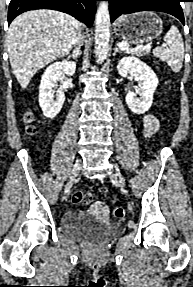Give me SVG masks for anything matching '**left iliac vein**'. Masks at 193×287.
Masks as SVG:
<instances>
[{"label": "left iliac vein", "mask_w": 193, "mask_h": 287, "mask_svg": "<svg viewBox=\"0 0 193 287\" xmlns=\"http://www.w3.org/2000/svg\"><path fill=\"white\" fill-rule=\"evenodd\" d=\"M111 177L112 178H118L120 183L122 185H125V180H124V178L122 177V175L120 174V172L117 169H115V173L111 174Z\"/></svg>", "instance_id": "4c4485c4"}]
</instances>
